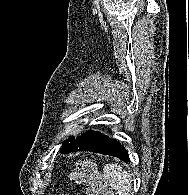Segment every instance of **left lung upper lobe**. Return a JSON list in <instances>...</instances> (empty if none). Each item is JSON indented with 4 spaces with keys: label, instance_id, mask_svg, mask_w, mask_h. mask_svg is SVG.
I'll return each mask as SVG.
<instances>
[{
    "label": "left lung upper lobe",
    "instance_id": "5c2ea615",
    "mask_svg": "<svg viewBox=\"0 0 189 195\" xmlns=\"http://www.w3.org/2000/svg\"><path fill=\"white\" fill-rule=\"evenodd\" d=\"M73 137H70L68 140L64 141L62 146L66 145Z\"/></svg>",
    "mask_w": 189,
    "mask_h": 195
}]
</instances>
